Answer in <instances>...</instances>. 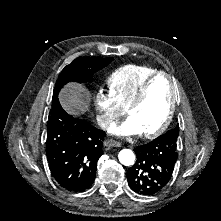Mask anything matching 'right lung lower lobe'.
<instances>
[{"label": "right lung lower lobe", "mask_w": 221, "mask_h": 221, "mask_svg": "<svg viewBox=\"0 0 221 221\" xmlns=\"http://www.w3.org/2000/svg\"><path fill=\"white\" fill-rule=\"evenodd\" d=\"M106 133L67 114L58 98L52 103L47 124L46 155L58 184L72 192L88 189L95 180Z\"/></svg>", "instance_id": "right-lung-lower-lobe-1"}]
</instances>
